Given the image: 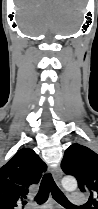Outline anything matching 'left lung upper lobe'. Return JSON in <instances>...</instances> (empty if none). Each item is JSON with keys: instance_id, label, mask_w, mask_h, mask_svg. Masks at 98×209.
Instances as JSON below:
<instances>
[{"instance_id": "left-lung-upper-lobe-1", "label": "left lung upper lobe", "mask_w": 98, "mask_h": 209, "mask_svg": "<svg viewBox=\"0 0 98 209\" xmlns=\"http://www.w3.org/2000/svg\"><path fill=\"white\" fill-rule=\"evenodd\" d=\"M61 168L77 179L82 192L90 193L87 208L98 209V154L83 145L72 144L65 151Z\"/></svg>"}]
</instances>
